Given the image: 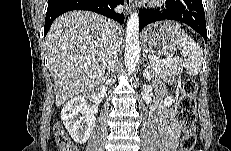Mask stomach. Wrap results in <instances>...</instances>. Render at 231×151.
Masks as SVG:
<instances>
[{"instance_id": "obj_1", "label": "stomach", "mask_w": 231, "mask_h": 151, "mask_svg": "<svg viewBox=\"0 0 231 151\" xmlns=\"http://www.w3.org/2000/svg\"><path fill=\"white\" fill-rule=\"evenodd\" d=\"M179 32L181 29L176 22L154 23L143 32V48L156 55L173 54L177 48L176 35Z\"/></svg>"}]
</instances>
